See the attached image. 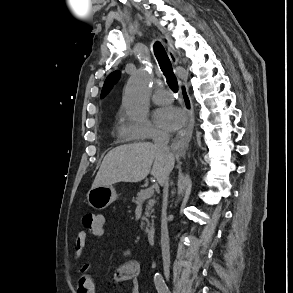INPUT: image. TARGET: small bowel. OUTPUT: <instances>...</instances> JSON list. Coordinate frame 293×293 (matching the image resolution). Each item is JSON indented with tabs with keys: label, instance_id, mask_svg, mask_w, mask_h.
Returning a JSON list of instances; mask_svg holds the SVG:
<instances>
[{
	"label": "small bowel",
	"instance_id": "small-bowel-1",
	"mask_svg": "<svg viewBox=\"0 0 293 293\" xmlns=\"http://www.w3.org/2000/svg\"><path fill=\"white\" fill-rule=\"evenodd\" d=\"M103 219V227L100 232L92 234L96 238H100L105 233V219ZM86 239L87 234L84 231H79L76 234L74 246L77 258H81L86 249ZM88 265L84 264L82 267V274L77 279V289L78 293H95L96 288L91 279V277L86 273ZM140 274V265L137 261H127L121 264L115 273V280L118 283H131L130 292L131 293H141L140 286L138 282V277Z\"/></svg>",
	"mask_w": 293,
	"mask_h": 293
}]
</instances>
